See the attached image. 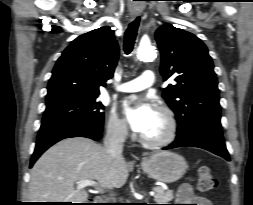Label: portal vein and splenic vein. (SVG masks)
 Listing matches in <instances>:
<instances>
[{
	"label": "portal vein and splenic vein",
	"mask_w": 253,
	"mask_h": 205,
	"mask_svg": "<svg viewBox=\"0 0 253 205\" xmlns=\"http://www.w3.org/2000/svg\"><path fill=\"white\" fill-rule=\"evenodd\" d=\"M89 186H97V183L92 181V180H80L77 182V188L78 189H82L85 187H89ZM150 196H154L155 192L154 191H150Z\"/></svg>",
	"instance_id": "1"
}]
</instances>
